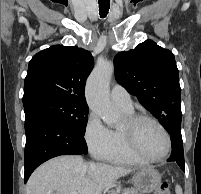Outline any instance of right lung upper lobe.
<instances>
[{"label":"right lung upper lobe","instance_id":"obj_1","mask_svg":"<svg viewBox=\"0 0 201 194\" xmlns=\"http://www.w3.org/2000/svg\"><path fill=\"white\" fill-rule=\"evenodd\" d=\"M92 68L91 53L76 46L54 45L35 54L24 81L23 103L58 97L87 107L85 82Z\"/></svg>","mask_w":201,"mask_h":194}]
</instances>
